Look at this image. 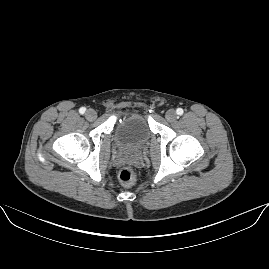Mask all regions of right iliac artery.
Segmentation results:
<instances>
[{"instance_id":"1","label":"right iliac artery","mask_w":269,"mask_h":269,"mask_svg":"<svg viewBox=\"0 0 269 269\" xmlns=\"http://www.w3.org/2000/svg\"><path fill=\"white\" fill-rule=\"evenodd\" d=\"M85 112H86V108L81 107V108L79 109V113H80V114H84Z\"/></svg>"}]
</instances>
